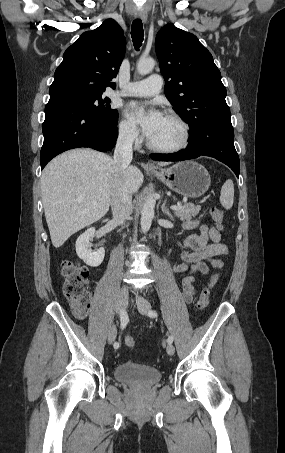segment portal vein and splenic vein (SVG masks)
I'll use <instances>...</instances> for the list:
<instances>
[{"instance_id":"obj_1","label":"portal vein and splenic vein","mask_w":285,"mask_h":453,"mask_svg":"<svg viewBox=\"0 0 285 453\" xmlns=\"http://www.w3.org/2000/svg\"><path fill=\"white\" fill-rule=\"evenodd\" d=\"M170 208L172 210H178V209L182 208V206H181V204L178 203L177 205H172Z\"/></svg>"}]
</instances>
